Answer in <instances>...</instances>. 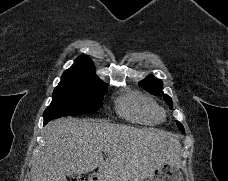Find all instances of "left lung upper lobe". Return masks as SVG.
<instances>
[{
  "label": "left lung upper lobe",
  "mask_w": 228,
  "mask_h": 181,
  "mask_svg": "<svg viewBox=\"0 0 228 181\" xmlns=\"http://www.w3.org/2000/svg\"><path fill=\"white\" fill-rule=\"evenodd\" d=\"M139 85L146 91L154 94V95H161L163 92L162 89V81L159 79H155L153 76H148L144 80L139 82ZM165 101L172 107V100L169 96H165ZM178 128L181 132L184 131V127L180 122H177Z\"/></svg>",
  "instance_id": "left-lung-upper-lobe-1"
}]
</instances>
